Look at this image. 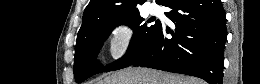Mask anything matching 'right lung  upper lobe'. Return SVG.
Segmentation results:
<instances>
[{
    "mask_svg": "<svg viewBox=\"0 0 260 84\" xmlns=\"http://www.w3.org/2000/svg\"><path fill=\"white\" fill-rule=\"evenodd\" d=\"M169 0H160V5H165ZM145 0H90L84 14L82 26L77 39L96 22L107 20H119L124 16L138 12L137 5Z\"/></svg>",
    "mask_w": 260,
    "mask_h": 84,
    "instance_id": "1",
    "label": "right lung upper lobe"
}]
</instances>
